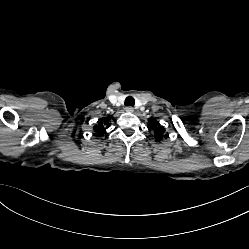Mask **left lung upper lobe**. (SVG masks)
Instances as JSON below:
<instances>
[{
    "label": "left lung upper lobe",
    "mask_w": 249,
    "mask_h": 249,
    "mask_svg": "<svg viewBox=\"0 0 249 249\" xmlns=\"http://www.w3.org/2000/svg\"><path fill=\"white\" fill-rule=\"evenodd\" d=\"M159 124L155 119H151L148 128L154 130L155 133V139L157 142H160L163 137H168L167 134H165V129L163 127H158Z\"/></svg>",
    "instance_id": "obj_1"
}]
</instances>
